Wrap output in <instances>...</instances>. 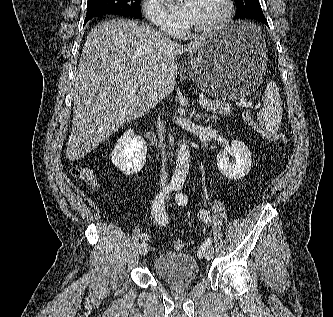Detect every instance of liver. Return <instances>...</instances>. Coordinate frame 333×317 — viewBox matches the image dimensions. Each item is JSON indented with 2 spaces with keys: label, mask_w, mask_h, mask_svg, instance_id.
Listing matches in <instances>:
<instances>
[{
  "label": "liver",
  "mask_w": 333,
  "mask_h": 317,
  "mask_svg": "<svg viewBox=\"0 0 333 317\" xmlns=\"http://www.w3.org/2000/svg\"><path fill=\"white\" fill-rule=\"evenodd\" d=\"M205 39L180 45L129 19L107 20L92 28L73 78V124L66 157L71 161L84 157L154 108L174 89L176 55L196 52Z\"/></svg>",
  "instance_id": "1"
}]
</instances>
